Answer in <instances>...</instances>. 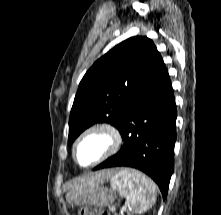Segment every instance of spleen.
I'll return each mask as SVG.
<instances>
[{
    "label": "spleen",
    "instance_id": "1",
    "mask_svg": "<svg viewBox=\"0 0 221 215\" xmlns=\"http://www.w3.org/2000/svg\"><path fill=\"white\" fill-rule=\"evenodd\" d=\"M111 187L126 198L128 206L138 213L147 211L156 201V185L134 170H122L111 178Z\"/></svg>",
    "mask_w": 221,
    "mask_h": 215
}]
</instances>
